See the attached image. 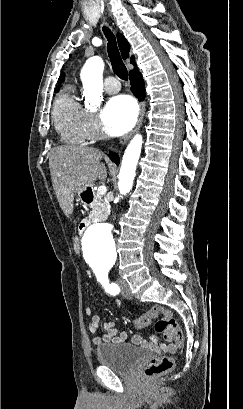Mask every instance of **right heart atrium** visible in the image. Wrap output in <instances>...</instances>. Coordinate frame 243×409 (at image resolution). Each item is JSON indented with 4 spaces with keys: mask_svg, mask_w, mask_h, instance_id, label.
<instances>
[{
    "mask_svg": "<svg viewBox=\"0 0 243 409\" xmlns=\"http://www.w3.org/2000/svg\"><path fill=\"white\" fill-rule=\"evenodd\" d=\"M83 127L86 140L97 141L103 137L97 118L86 110L83 115Z\"/></svg>",
    "mask_w": 243,
    "mask_h": 409,
    "instance_id": "right-heart-atrium-1",
    "label": "right heart atrium"
}]
</instances>
